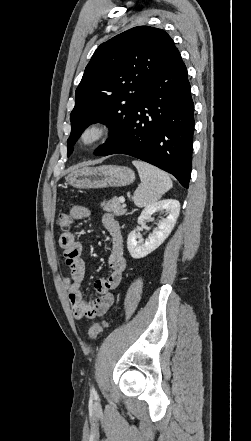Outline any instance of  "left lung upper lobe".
<instances>
[{
  "label": "left lung upper lobe",
  "mask_w": 251,
  "mask_h": 441,
  "mask_svg": "<svg viewBox=\"0 0 251 441\" xmlns=\"http://www.w3.org/2000/svg\"><path fill=\"white\" fill-rule=\"evenodd\" d=\"M176 50L171 37L150 26L131 28L93 54L75 93L68 156L83 130L101 121L120 128L147 95V86Z\"/></svg>",
  "instance_id": "1"
}]
</instances>
